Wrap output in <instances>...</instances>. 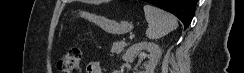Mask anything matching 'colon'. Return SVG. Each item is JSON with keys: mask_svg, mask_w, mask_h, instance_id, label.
<instances>
[{"mask_svg": "<svg viewBox=\"0 0 244 73\" xmlns=\"http://www.w3.org/2000/svg\"><path fill=\"white\" fill-rule=\"evenodd\" d=\"M82 52L79 48L69 49L58 61V69L62 73H80Z\"/></svg>", "mask_w": 244, "mask_h": 73, "instance_id": "colon-1", "label": "colon"}]
</instances>
